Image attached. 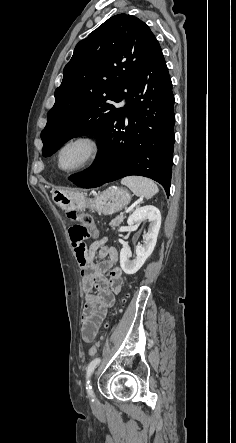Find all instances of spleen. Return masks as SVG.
Listing matches in <instances>:
<instances>
[{"label":"spleen","mask_w":236,"mask_h":443,"mask_svg":"<svg viewBox=\"0 0 236 443\" xmlns=\"http://www.w3.org/2000/svg\"><path fill=\"white\" fill-rule=\"evenodd\" d=\"M121 184L127 186L136 196L147 199L158 193L157 185L150 179L141 176H127L122 178Z\"/></svg>","instance_id":"spleen-1"}]
</instances>
